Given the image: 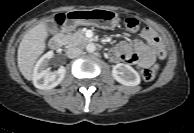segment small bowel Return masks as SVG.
<instances>
[{
	"mask_svg": "<svg viewBox=\"0 0 194 133\" xmlns=\"http://www.w3.org/2000/svg\"><path fill=\"white\" fill-rule=\"evenodd\" d=\"M143 41L121 42L110 52L111 60L136 64L141 69L150 68L157 59L164 58L163 44L157 33L149 27L141 31Z\"/></svg>",
	"mask_w": 194,
	"mask_h": 133,
	"instance_id": "obj_1",
	"label": "small bowel"
}]
</instances>
